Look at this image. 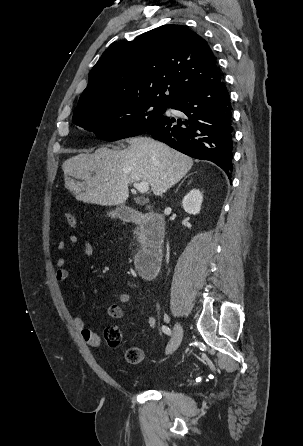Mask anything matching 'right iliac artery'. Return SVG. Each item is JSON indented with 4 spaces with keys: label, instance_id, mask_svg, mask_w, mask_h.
Returning a JSON list of instances; mask_svg holds the SVG:
<instances>
[{
    "label": "right iliac artery",
    "instance_id": "82829eb1",
    "mask_svg": "<svg viewBox=\"0 0 303 446\" xmlns=\"http://www.w3.org/2000/svg\"><path fill=\"white\" fill-rule=\"evenodd\" d=\"M162 331L165 333V334H167V335H171V329L169 328V327H167V326H162Z\"/></svg>",
    "mask_w": 303,
    "mask_h": 446
}]
</instances>
